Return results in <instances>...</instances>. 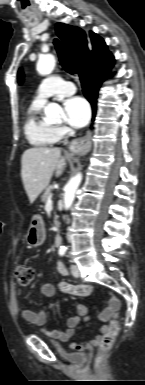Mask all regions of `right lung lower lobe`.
Masks as SVG:
<instances>
[{"instance_id": "98d812e1", "label": "right lung lower lobe", "mask_w": 145, "mask_h": 385, "mask_svg": "<svg viewBox=\"0 0 145 385\" xmlns=\"http://www.w3.org/2000/svg\"><path fill=\"white\" fill-rule=\"evenodd\" d=\"M112 66L113 63L99 68H90L80 75L84 95L92 106L93 119L96 114L98 90L102 81L108 76Z\"/></svg>"}]
</instances>
